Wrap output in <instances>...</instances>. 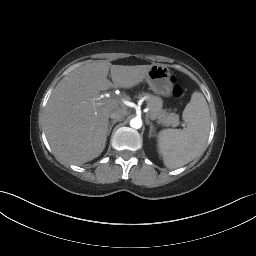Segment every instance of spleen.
Masks as SVG:
<instances>
[{
	"label": "spleen",
	"instance_id": "obj_1",
	"mask_svg": "<svg viewBox=\"0 0 256 256\" xmlns=\"http://www.w3.org/2000/svg\"><path fill=\"white\" fill-rule=\"evenodd\" d=\"M182 117L185 129H164L158 133V152L167 168L184 166L203 150L210 129V112L202 93L192 94Z\"/></svg>",
	"mask_w": 256,
	"mask_h": 256
}]
</instances>
